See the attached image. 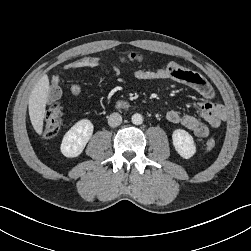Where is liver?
Listing matches in <instances>:
<instances>
[{
  "label": "liver",
  "mask_w": 251,
  "mask_h": 251,
  "mask_svg": "<svg viewBox=\"0 0 251 251\" xmlns=\"http://www.w3.org/2000/svg\"><path fill=\"white\" fill-rule=\"evenodd\" d=\"M49 91V78L44 74L34 86L28 101L31 124L35 132L39 135L43 132Z\"/></svg>",
  "instance_id": "1"
}]
</instances>
